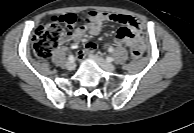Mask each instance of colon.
<instances>
[{
    "label": "colon",
    "instance_id": "obj_1",
    "mask_svg": "<svg viewBox=\"0 0 194 133\" xmlns=\"http://www.w3.org/2000/svg\"><path fill=\"white\" fill-rule=\"evenodd\" d=\"M81 22L80 17L75 14H66L59 17H54L51 22L40 25L33 38V52L35 57L44 61L47 60L52 50L60 43L67 31L75 30ZM88 52H96L98 43L96 41H88L86 43ZM131 59L137 60L142 51L140 47L133 46L130 50Z\"/></svg>",
    "mask_w": 194,
    "mask_h": 133
}]
</instances>
